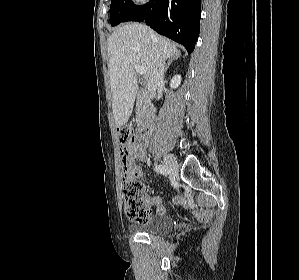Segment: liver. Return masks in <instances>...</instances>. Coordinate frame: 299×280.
Instances as JSON below:
<instances>
[{"mask_svg": "<svg viewBox=\"0 0 299 280\" xmlns=\"http://www.w3.org/2000/svg\"><path fill=\"white\" fill-rule=\"evenodd\" d=\"M180 53L174 43L144 24L127 23L108 39L112 110L117 127L129 120L138 90L135 65L145 66L147 79L157 60Z\"/></svg>", "mask_w": 299, "mask_h": 280, "instance_id": "obj_1", "label": "liver"}]
</instances>
